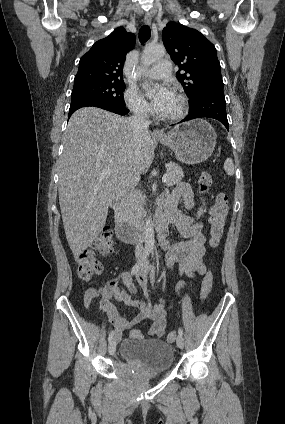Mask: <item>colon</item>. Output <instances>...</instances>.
Here are the masks:
<instances>
[{"instance_id": "5ec220e1", "label": "colon", "mask_w": 285, "mask_h": 424, "mask_svg": "<svg viewBox=\"0 0 285 424\" xmlns=\"http://www.w3.org/2000/svg\"><path fill=\"white\" fill-rule=\"evenodd\" d=\"M212 184V174L204 172L199 177L198 189L202 195H206ZM228 197L225 193H218L215 196L213 206L210 212L209 233L211 236L210 244L215 247L218 245L228 214ZM114 239L110 227H104L96 242L97 251L103 255L110 253L113 249ZM77 271L80 279L89 281L102 271V263L98 256L92 251H81L76 254ZM213 276L209 270L204 277L202 287V299L208 298L212 289ZM131 337H137L136 333H132ZM176 338V333L171 332L167 336L169 342H173Z\"/></svg>"}]
</instances>
